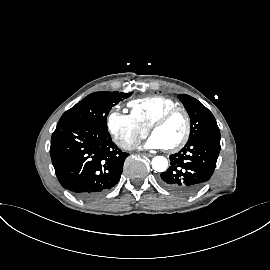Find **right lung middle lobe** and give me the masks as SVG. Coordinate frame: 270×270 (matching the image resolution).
<instances>
[{
	"instance_id": "1",
	"label": "right lung middle lobe",
	"mask_w": 270,
	"mask_h": 270,
	"mask_svg": "<svg viewBox=\"0 0 270 270\" xmlns=\"http://www.w3.org/2000/svg\"><path fill=\"white\" fill-rule=\"evenodd\" d=\"M131 93L95 92L67 110L60 118L57 125L70 123L89 124L107 131V115L111 108L120 101L130 97Z\"/></svg>"
}]
</instances>
